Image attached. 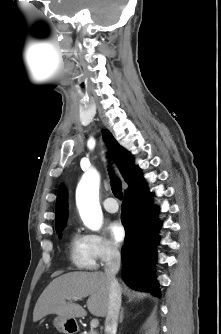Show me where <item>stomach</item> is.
I'll use <instances>...</instances> for the list:
<instances>
[{
    "mask_svg": "<svg viewBox=\"0 0 221 334\" xmlns=\"http://www.w3.org/2000/svg\"><path fill=\"white\" fill-rule=\"evenodd\" d=\"M54 326L58 331L66 334H73L72 332H75L78 328L74 320L64 318L62 316H57L54 319Z\"/></svg>",
    "mask_w": 221,
    "mask_h": 334,
    "instance_id": "stomach-1",
    "label": "stomach"
}]
</instances>
